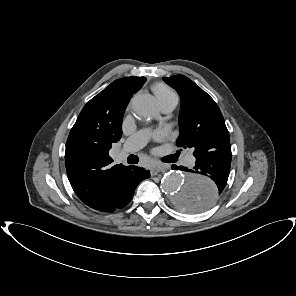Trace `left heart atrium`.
Returning a JSON list of instances; mask_svg holds the SVG:
<instances>
[{
    "label": "left heart atrium",
    "mask_w": 296,
    "mask_h": 296,
    "mask_svg": "<svg viewBox=\"0 0 296 296\" xmlns=\"http://www.w3.org/2000/svg\"><path fill=\"white\" fill-rule=\"evenodd\" d=\"M163 136H164V134H163L162 132H157V133L155 134V137H156L157 139H161V138H163Z\"/></svg>",
    "instance_id": "left-heart-atrium-1"
}]
</instances>
